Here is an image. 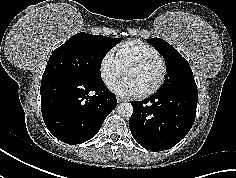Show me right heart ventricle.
<instances>
[{
  "mask_svg": "<svg viewBox=\"0 0 236 178\" xmlns=\"http://www.w3.org/2000/svg\"><path fill=\"white\" fill-rule=\"evenodd\" d=\"M113 54L123 69L132 61L160 57L154 47L140 40H128L121 43L114 49Z\"/></svg>",
  "mask_w": 236,
  "mask_h": 178,
  "instance_id": "e07e8e85",
  "label": "right heart ventricle"
}]
</instances>
